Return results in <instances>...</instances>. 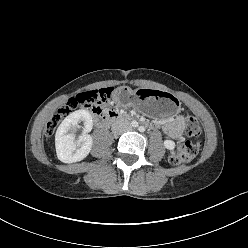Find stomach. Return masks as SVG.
<instances>
[{"label": "stomach", "mask_w": 248, "mask_h": 248, "mask_svg": "<svg viewBox=\"0 0 248 248\" xmlns=\"http://www.w3.org/2000/svg\"><path fill=\"white\" fill-rule=\"evenodd\" d=\"M117 106L125 108L134 106L136 110L150 117L166 118L179 111V101L171 94L160 91L156 87L135 89L122 86L113 96Z\"/></svg>", "instance_id": "1"}]
</instances>
